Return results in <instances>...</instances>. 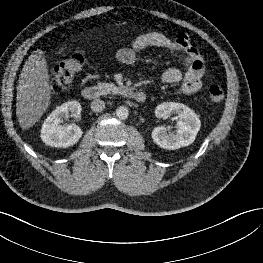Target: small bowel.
Returning <instances> with one entry per match:
<instances>
[{"label": "small bowel", "instance_id": "small-bowel-1", "mask_svg": "<svg viewBox=\"0 0 263 263\" xmlns=\"http://www.w3.org/2000/svg\"><path fill=\"white\" fill-rule=\"evenodd\" d=\"M147 47H157L180 53L185 59V71L170 68L161 75V82L173 84L182 81L181 92L191 95L201 90L205 63L199 52L191 45L188 37L179 34L170 38L160 32H149L138 36L130 47L122 48L116 53L119 62L132 65L136 62L137 53Z\"/></svg>", "mask_w": 263, "mask_h": 263}]
</instances>
